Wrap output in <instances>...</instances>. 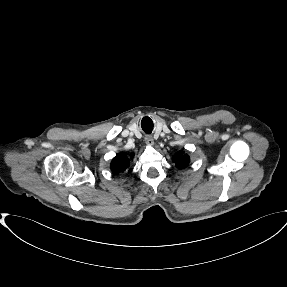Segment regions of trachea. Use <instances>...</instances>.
Returning <instances> with one entry per match:
<instances>
[{"label":"trachea","mask_w":287,"mask_h":287,"mask_svg":"<svg viewBox=\"0 0 287 287\" xmlns=\"http://www.w3.org/2000/svg\"><path fill=\"white\" fill-rule=\"evenodd\" d=\"M150 132H151V130H148V131H147V133H150Z\"/></svg>","instance_id":"obj_1"}]
</instances>
